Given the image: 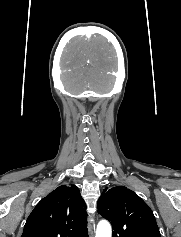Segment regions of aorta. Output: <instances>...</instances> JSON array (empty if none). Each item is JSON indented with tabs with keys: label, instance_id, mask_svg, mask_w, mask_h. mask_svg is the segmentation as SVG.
<instances>
[{
	"label": "aorta",
	"instance_id": "obj_1",
	"mask_svg": "<svg viewBox=\"0 0 181 237\" xmlns=\"http://www.w3.org/2000/svg\"><path fill=\"white\" fill-rule=\"evenodd\" d=\"M96 237H112V230L109 222L101 220L97 225Z\"/></svg>",
	"mask_w": 181,
	"mask_h": 237
}]
</instances>
